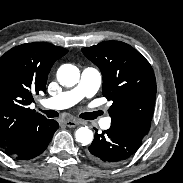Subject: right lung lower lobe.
Instances as JSON below:
<instances>
[{"instance_id":"1","label":"right lung lower lobe","mask_w":183,"mask_h":183,"mask_svg":"<svg viewBox=\"0 0 183 183\" xmlns=\"http://www.w3.org/2000/svg\"><path fill=\"white\" fill-rule=\"evenodd\" d=\"M59 124L55 120L47 119L28 133V139L23 152L12 155L18 160H27L40 155L50 143Z\"/></svg>"}]
</instances>
